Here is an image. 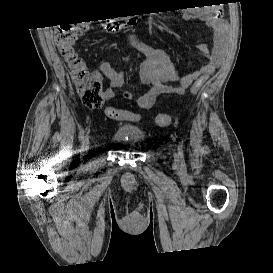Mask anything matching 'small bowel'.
I'll list each match as a JSON object with an SVG mask.
<instances>
[{"mask_svg":"<svg viewBox=\"0 0 273 273\" xmlns=\"http://www.w3.org/2000/svg\"><path fill=\"white\" fill-rule=\"evenodd\" d=\"M184 18H198L204 21L212 30V45L201 43L198 46L207 58L208 64L197 71L179 77L173 61L164 49L156 48L140 40L136 35H131L132 46L143 56L139 73L141 84L148 87V90L141 95L121 90V94L125 98L134 99L140 108H152L160 95L184 94L196 79L212 74L225 60L229 42V24L223 18L221 8L218 6H204L188 9L184 12ZM99 70V72L94 73V77L101 81L104 78L108 80L109 86L104 91L103 96L106 100L112 101L116 98V90L121 89L124 84L125 72L118 70L106 60H101ZM126 113L123 120H129L128 114L133 112L126 110Z\"/></svg>","mask_w":273,"mask_h":273,"instance_id":"c3829d8e","label":"small bowel"}]
</instances>
